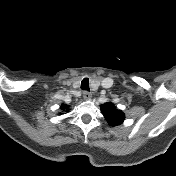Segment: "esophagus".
Returning a JSON list of instances; mask_svg holds the SVG:
<instances>
[{
    "instance_id": "esophagus-1",
    "label": "esophagus",
    "mask_w": 176,
    "mask_h": 176,
    "mask_svg": "<svg viewBox=\"0 0 176 176\" xmlns=\"http://www.w3.org/2000/svg\"><path fill=\"white\" fill-rule=\"evenodd\" d=\"M92 97V94L88 91L83 92V99L84 100H89Z\"/></svg>"
}]
</instances>
